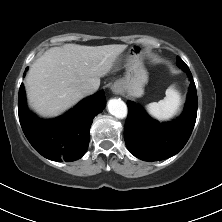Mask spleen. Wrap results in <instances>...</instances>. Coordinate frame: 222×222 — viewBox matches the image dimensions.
<instances>
[{"instance_id":"3e777b00","label":"spleen","mask_w":222,"mask_h":222,"mask_svg":"<svg viewBox=\"0 0 222 222\" xmlns=\"http://www.w3.org/2000/svg\"><path fill=\"white\" fill-rule=\"evenodd\" d=\"M181 106V95L170 86L166 90V97L159 102H152L146 105L147 112L160 121H167L173 118L179 111Z\"/></svg>"}]
</instances>
